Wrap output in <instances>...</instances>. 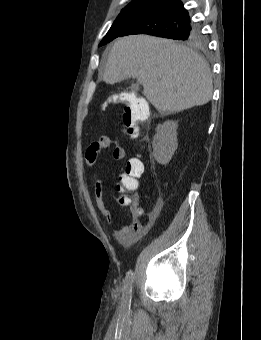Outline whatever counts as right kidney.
I'll list each match as a JSON object with an SVG mask.
<instances>
[{
	"label": "right kidney",
	"instance_id": "1",
	"mask_svg": "<svg viewBox=\"0 0 261 340\" xmlns=\"http://www.w3.org/2000/svg\"><path fill=\"white\" fill-rule=\"evenodd\" d=\"M177 127L176 121H166L156 128V134L152 141L153 155L161 165L170 162L178 147Z\"/></svg>",
	"mask_w": 261,
	"mask_h": 340
}]
</instances>
